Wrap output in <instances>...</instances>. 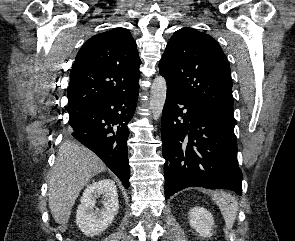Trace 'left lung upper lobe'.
Masks as SVG:
<instances>
[{
    "instance_id": "5c2ea615",
    "label": "left lung upper lobe",
    "mask_w": 295,
    "mask_h": 241,
    "mask_svg": "<svg viewBox=\"0 0 295 241\" xmlns=\"http://www.w3.org/2000/svg\"><path fill=\"white\" fill-rule=\"evenodd\" d=\"M159 70L169 90L235 125L230 66L214 38L192 28L176 31L167 43Z\"/></svg>"
}]
</instances>
